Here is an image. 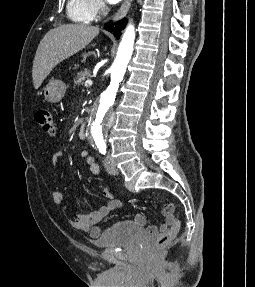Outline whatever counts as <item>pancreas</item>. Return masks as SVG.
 Masks as SVG:
<instances>
[{
    "instance_id": "pancreas-1",
    "label": "pancreas",
    "mask_w": 255,
    "mask_h": 287,
    "mask_svg": "<svg viewBox=\"0 0 255 287\" xmlns=\"http://www.w3.org/2000/svg\"><path fill=\"white\" fill-rule=\"evenodd\" d=\"M89 78H92L90 70L85 68L84 72H78L76 78H74V84L75 86H82V84H84L86 80H89Z\"/></svg>"
}]
</instances>
